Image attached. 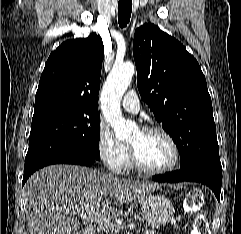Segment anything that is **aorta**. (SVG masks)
I'll return each mask as SVG.
<instances>
[{"mask_svg":"<svg viewBox=\"0 0 241 234\" xmlns=\"http://www.w3.org/2000/svg\"><path fill=\"white\" fill-rule=\"evenodd\" d=\"M134 73L135 67L130 62L114 65L101 93L103 115L118 139H127L136 130V125L126 121L120 110V100Z\"/></svg>","mask_w":241,"mask_h":234,"instance_id":"762f6f07","label":"aorta"}]
</instances>
